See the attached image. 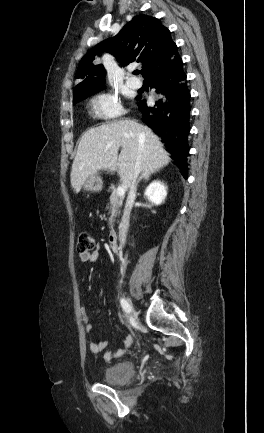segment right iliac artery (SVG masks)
I'll return each instance as SVG.
<instances>
[{
  "label": "right iliac artery",
  "mask_w": 264,
  "mask_h": 433,
  "mask_svg": "<svg viewBox=\"0 0 264 433\" xmlns=\"http://www.w3.org/2000/svg\"><path fill=\"white\" fill-rule=\"evenodd\" d=\"M120 304L122 309L126 312V313H130V307L128 302L125 299H120Z\"/></svg>",
  "instance_id": "right-iliac-artery-1"
}]
</instances>
